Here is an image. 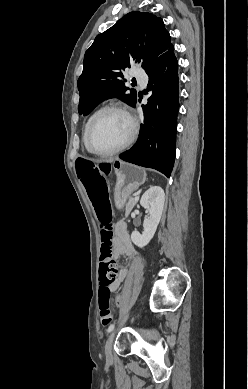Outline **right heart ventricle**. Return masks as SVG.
Listing matches in <instances>:
<instances>
[{"label": "right heart ventricle", "mask_w": 248, "mask_h": 389, "mask_svg": "<svg viewBox=\"0 0 248 389\" xmlns=\"http://www.w3.org/2000/svg\"><path fill=\"white\" fill-rule=\"evenodd\" d=\"M99 110H96L95 112H93L90 117L88 118L86 124H85V127H84V132H83V140H84V144H85V133H86V129H87V126L89 124V122L91 121V119L93 118V116L98 112ZM86 146V145H85Z\"/></svg>", "instance_id": "right-heart-ventricle-1"}]
</instances>
